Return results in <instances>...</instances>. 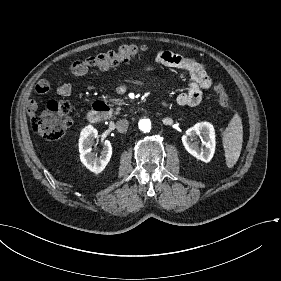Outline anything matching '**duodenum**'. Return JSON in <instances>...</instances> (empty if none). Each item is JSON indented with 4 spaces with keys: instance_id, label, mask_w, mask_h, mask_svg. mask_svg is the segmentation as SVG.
Listing matches in <instances>:
<instances>
[{
    "instance_id": "1",
    "label": "duodenum",
    "mask_w": 281,
    "mask_h": 281,
    "mask_svg": "<svg viewBox=\"0 0 281 281\" xmlns=\"http://www.w3.org/2000/svg\"><path fill=\"white\" fill-rule=\"evenodd\" d=\"M109 111V106L103 101H96L87 114V120L90 123H99L105 118Z\"/></svg>"
}]
</instances>
